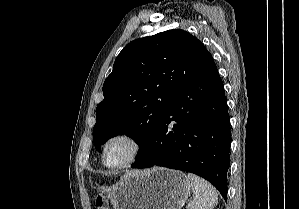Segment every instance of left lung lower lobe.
I'll return each mask as SVG.
<instances>
[{
  "instance_id": "obj_1",
  "label": "left lung lower lobe",
  "mask_w": 299,
  "mask_h": 209,
  "mask_svg": "<svg viewBox=\"0 0 299 209\" xmlns=\"http://www.w3.org/2000/svg\"><path fill=\"white\" fill-rule=\"evenodd\" d=\"M230 144L227 100L212 59L173 95L131 167L157 165L197 174L226 200Z\"/></svg>"
}]
</instances>
